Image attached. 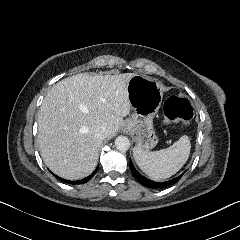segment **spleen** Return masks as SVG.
Wrapping results in <instances>:
<instances>
[{
  "instance_id": "3e777b00",
  "label": "spleen",
  "mask_w": 240,
  "mask_h": 240,
  "mask_svg": "<svg viewBox=\"0 0 240 240\" xmlns=\"http://www.w3.org/2000/svg\"><path fill=\"white\" fill-rule=\"evenodd\" d=\"M192 148V136L183 135L167 149L148 152L133 148L137 166L154 181H161L177 174L187 163Z\"/></svg>"
}]
</instances>
